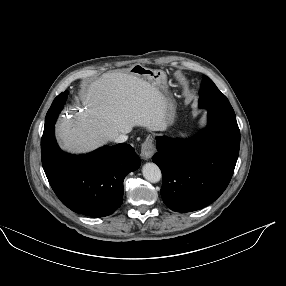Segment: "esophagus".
Here are the masks:
<instances>
[{"instance_id": "esophagus-1", "label": "esophagus", "mask_w": 286, "mask_h": 286, "mask_svg": "<svg viewBox=\"0 0 286 286\" xmlns=\"http://www.w3.org/2000/svg\"><path fill=\"white\" fill-rule=\"evenodd\" d=\"M155 153V146L152 137H148L141 147L140 155L144 160H149Z\"/></svg>"}]
</instances>
